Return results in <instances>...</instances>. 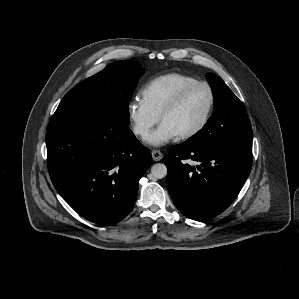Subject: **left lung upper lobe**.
Instances as JSON below:
<instances>
[{
    "label": "left lung upper lobe",
    "instance_id": "obj_1",
    "mask_svg": "<svg viewBox=\"0 0 299 299\" xmlns=\"http://www.w3.org/2000/svg\"><path fill=\"white\" fill-rule=\"evenodd\" d=\"M206 79L212 88L214 110L202 130L185 142L204 148H252V127L243 103L220 77L207 73Z\"/></svg>",
    "mask_w": 299,
    "mask_h": 299
}]
</instances>
